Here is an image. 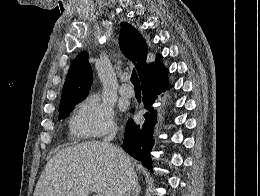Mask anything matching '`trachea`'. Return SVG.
Instances as JSON below:
<instances>
[{
	"label": "trachea",
	"mask_w": 260,
	"mask_h": 196,
	"mask_svg": "<svg viewBox=\"0 0 260 196\" xmlns=\"http://www.w3.org/2000/svg\"><path fill=\"white\" fill-rule=\"evenodd\" d=\"M130 80L134 86H139V87L141 86L140 80H139L136 70L134 68L132 70Z\"/></svg>",
	"instance_id": "3493384b"
}]
</instances>
